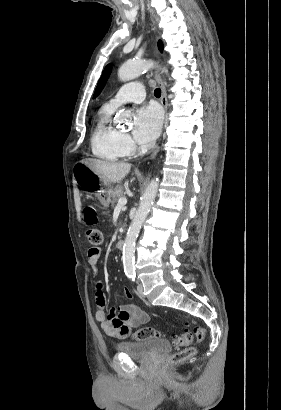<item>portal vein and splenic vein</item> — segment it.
Instances as JSON below:
<instances>
[{
	"label": "portal vein and splenic vein",
	"mask_w": 281,
	"mask_h": 410,
	"mask_svg": "<svg viewBox=\"0 0 281 410\" xmlns=\"http://www.w3.org/2000/svg\"><path fill=\"white\" fill-rule=\"evenodd\" d=\"M127 204V198L125 196L118 200L117 207H123Z\"/></svg>",
	"instance_id": "obj_1"
}]
</instances>
